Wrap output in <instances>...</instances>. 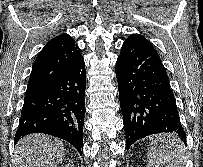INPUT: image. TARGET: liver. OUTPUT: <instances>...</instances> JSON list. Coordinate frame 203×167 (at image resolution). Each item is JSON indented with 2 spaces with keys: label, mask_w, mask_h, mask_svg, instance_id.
I'll return each instance as SVG.
<instances>
[{
  "label": "liver",
  "mask_w": 203,
  "mask_h": 167,
  "mask_svg": "<svg viewBox=\"0 0 203 167\" xmlns=\"http://www.w3.org/2000/svg\"><path fill=\"white\" fill-rule=\"evenodd\" d=\"M65 156L63 144L45 134L28 135L17 143L15 167H57Z\"/></svg>",
  "instance_id": "6515ba94"
}]
</instances>
